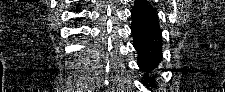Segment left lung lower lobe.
<instances>
[{"instance_id": "0a47b994", "label": "left lung lower lobe", "mask_w": 225, "mask_h": 92, "mask_svg": "<svg viewBox=\"0 0 225 92\" xmlns=\"http://www.w3.org/2000/svg\"><path fill=\"white\" fill-rule=\"evenodd\" d=\"M133 46L138 53V66L145 73L144 80L155 86L149 77L162 58V36L155 8L147 0H136L131 10Z\"/></svg>"}]
</instances>
